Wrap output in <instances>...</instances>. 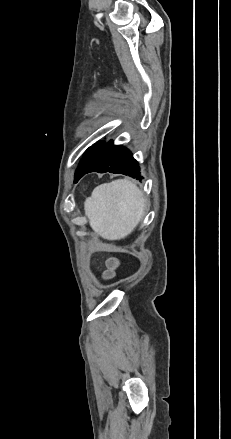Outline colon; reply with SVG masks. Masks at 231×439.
Returning a JSON list of instances; mask_svg holds the SVG:
<instances>
[{
  "instance_id": "1",
  "label": "colon",
  "mask_w": 231,
  "mask_h": 439,
  "mask_svg": "<svg viewBox=\"0 0 231 439\" xmlns=\"http://www.w3.org/2000/svg\"><path fill=\"white\" fill-rule=\"evenodd\" d=\"M117 265H118V261L115 258H110L106 262V266L110 271L114 270L117 267ZM102 276L104 277L103 281L105 283L110 282L113 279V276L111 275V273L108 270H105L102 273Z\"/></svg>"
}]
</instances>
